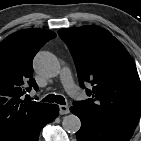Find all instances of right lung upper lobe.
Here are the masks:
<instances>
[{
  "label": "right lung upper lobe",
  "instance_id": "cb5924a9",
  "mask_svg": "<svg viewBox=\"0 0 141 141\" xmlns=\"http://www.w3.org/2000/svg\"><path fill=\"white\" fill-rule=\"evenodd\" d=\"M54 37L52 31L27 29L9 35L0 43V141L17 138L47 110L49 104L23 101L20 97L25 83L37 89L32 61L39 49Z\"/></svg>",
  "mask_w": 141,
  "mask_h": 141
}]
</instances>
